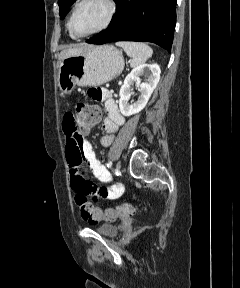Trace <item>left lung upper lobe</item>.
Listing matches in <instances>:
<instances>
[{
    "label": "left lung upper lobe",
    "instance_id": "5c2ea615",
    "mask_svg": "<svg viewBox=\"0 0 240 288\" xmlns=\"http://www.w3.org/2000/svg\"><path fill=\"white\" fill-rule=\"evenodd\" d=\"M76 0H59L58 5L60 7V18L63 19L68 12V8L75 2Z\"/></svg>",
    "mask_w": 240,
    "mask_h": 288
}]
</instances>
